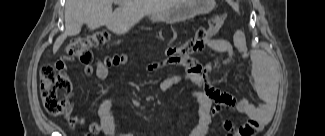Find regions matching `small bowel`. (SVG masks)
Returning <instances> with one entry per match:
<instances>
[{
  "label": "small bowel",
  "mask_w": 325,
  "mask_h": 136,
  "mask_svg": "<svg viewBox=\"0 0 325 136\" xmlns=\"http://www.w3.org/2000/svg\"><path fill=\"white\" fill-rule=\"evenodd\" d=\"M209 33L207 48L213 52L223 54V58L208 62L203 65L196 60L187 62H176L185 67L183 74L171 75L164 78L160 84L162 92L170 89L182 82H190L196 89L189 93V99L198 104V124L193 129L191 136H205L215 117H218L223 110L231 109L247 116L240 125L229 120H219L220 126L226 131L228 136H251L261 127L267 125L274 108V79L271 75L272 65L269 58L263 51H248L246 47L245 35L240 30H235L232 41L217 38L219 31ZM239 53L245 64L248 65V77L253 85L257 102L251 103L247 98L238 97L231 93L221 91L216 88L211 80L212 74L222 68L228 67ZM56 62V79L61 80V85L66 98H71L72 93L77 91L73 86L70 73H65V62L61 58ZM86 75L93 73L105 80L109 76L106 65L98 60L95 66L85 65ZM115 95L106 98L98 109L99 120L86 125L85 122L73 114V110L67 113V119L73 127H87L89 134L96 135L103 132L108 136H131L122 134L114 123L113 99ZM135 106H139L137 101H133ZM216 106H213V104Z\"/></svg>",
  "instance_id": "1"
}]
</instances>
